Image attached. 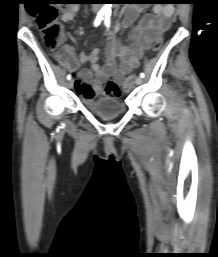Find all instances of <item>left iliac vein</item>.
<instances>
[{
	"instance_id": "obj_1",
	"label": "left iliac vein",
	"mask_w": 218,
	"mask_h": 257,
	"mask_svg": "<svg viewBox=\"0 0 218 257\" xmlns=\"http://www.w3.org/2000/svg\"><path fill=\"white\" fill-rule=\"evenodd\" d=\"M136 85H140L142 83V78L141 77H137L135 80Z\"/></svg>"
}]
</instances>
